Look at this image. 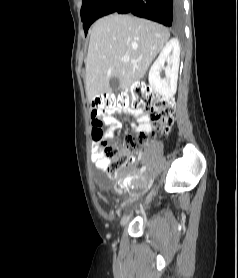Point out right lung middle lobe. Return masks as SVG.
Instances as JSON below:
<instances>
[{"mask_svg": "<svg viewBox=\"0 0 238 278\" xmlns=\"http://www.w3.org/2000/svg\"><path fill=\"white\" fill-rule=\"evenodd\" d=\"M99 0H83L81 8V20L83 21L84 31L87 34V21L86 16L90 9L98 2Z\"/></svg>", "mask_w": 238, "mask_h": 278, "instance_id": "dd1d6c3e", "label": "right lung middle lobe"}]
</instances>
